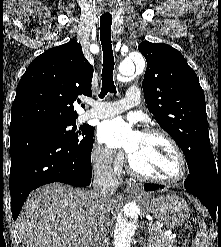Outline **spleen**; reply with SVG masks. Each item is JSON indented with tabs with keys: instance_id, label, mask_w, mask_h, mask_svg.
<instances>
[{
	"instance_id": "spleen-1",
	"label": "spleen",
	"mask_w": 221,
	"mask_h": 247,
	"mask_svg": "<svg viewBox=\"0 0 221 247\" xmlns=\"http://www.w3.org/2000/svg\"><path fill=\"white\" fill-rule=\"evenodd\" d=\"M199 227H200V230L196 234V237L194 240V246L195 247H208V237H207L205 223L201 222Z\"/></svg>"
}]
</instances>
